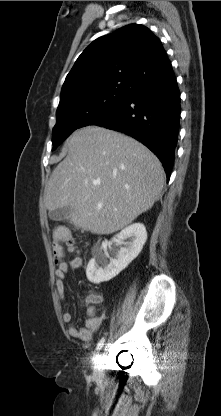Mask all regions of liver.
<instances>
[{"instance_id": "liver-1", "label": "liver", "mask_w": 221, "mask_h": 416, "mask_svg": "<svg viewBox=\"0 0 221 416\" xmlns=\"http://www.w3.org/2000/svg\"><path fill=\"white\" fill-rule=\"evenodd\" d=\"M67 147L45 187L44 202L49 211L70 207L67 218L75 228L111 234L159 199L165 182L162 164L134 138L87 126L72 134Z\"/></svg>"}]
</instances>
